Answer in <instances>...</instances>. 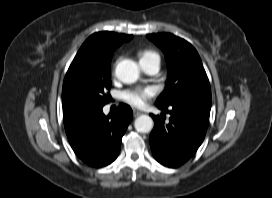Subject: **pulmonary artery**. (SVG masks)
Wrapping results in <instances>:
<instances>
[{"mask_svg":"<svg viewBox=\"0 0 272 198\" xmlns=\"http://www.w3.org/2000/svg\"><path fill=\"white\" fill-rule=\"evenodd\" d=\"M140 66L145 73L154 75L159 70L160 61L158 59L145 60L140 62Z\"/></svg>","mask_w":272,"mask_h":198,"instance_id":"1","label":"pulmonary artery"}]
</instances>
